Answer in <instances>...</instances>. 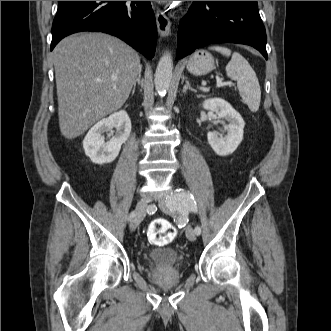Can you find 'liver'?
I'll return each mask as SVG.
<instances>
[{"mask_svg": "<svg viewBox=\"0 0 331 331\" xmlns=\"http://www.w3.org/2000/svg\"><path fill=\"white\" fill-rule=\"evenodd\" d=\"M52 56L59 127L67 139L119 110L142 69L134 49L103 33L72 34L57 44Z\"/></svg>", "mask_w": 331, "mask_h": 331, "instance_id": "1", "label": "liver"}]
</instances>
